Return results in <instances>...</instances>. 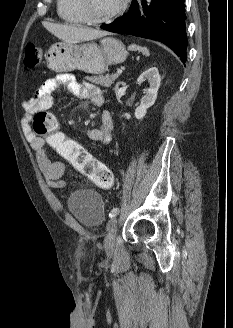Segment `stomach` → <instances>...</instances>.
Masks as SVG:
<instances>
[{"instance_id": "obj_1", "label": "stomach", "mask_w": 233, "mask_h": 328, "mask_svg": "<svg viewBox=\"0 0 233 328\" xmlns=\"http://www.w3.org/2000/svg\"><path fill=\"white\" fill-rule=\"evenodd\" d=\"M127 52L121 41L106 37L98 45L95 42L52 45L47 52V67L56 72L75 69L86 73L101 74L110 65L125 61Z\"/></svg>"}]
</instances>
